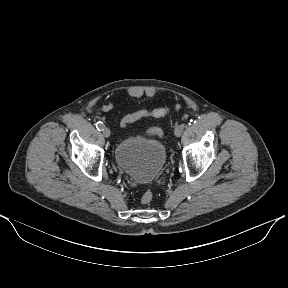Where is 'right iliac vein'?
<instances>
[{"instance_id": "obj_1", "label": "right iliac vein", "mask_w": 288, "mask_h": 288, "mask_svg": "<svg viewBox=\"0 0 288 288\" xmlns=\"http://www.w3.org/2000/svg\"><path fill=\"white\" fill-rule=\"evenodd\" d=\"M102 134H103L104 137L108 138L110 136V134H111L110 129L105 127L102 130Z\"/></svg>"}]
</instances>
